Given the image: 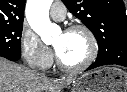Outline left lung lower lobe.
I'll list each match as a JSON object with an SVG mask.
<instances>
[{
    "mask_svg": "<svg viewBox=\"0 0 127 92\" xmlns=\"http://www.w3.org/2000/svg\"><path fill=\"white\" fill-rule=\"evenodd\" d=\"M109 64L127 67V43H118L108 47L105 52L98 54L96 61L87 70Z\"/></svg>",
    "mask_w": 127,
    "mask_h": 92,
    "instance_id": "1",
    "label": "left lung lower lobe"
}]
</instances>
